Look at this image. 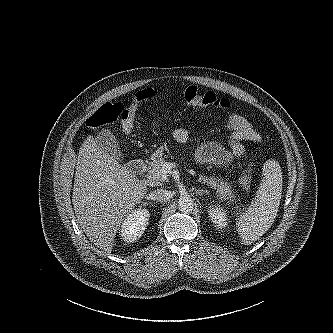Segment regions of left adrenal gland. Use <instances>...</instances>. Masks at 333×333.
Masks as SVG:
<instances>
[{
    "instance_id": "a2214340",
    "label": "left adrenal gland",
    "mask_w": 333,
    "mask_h": 333,
    "mask_svg": "<svg viewBox=\"0 0 333 333\" xmlns=\"http://www.w3.org/2000/svg\"><path fill=\"white\" fill-rule=\"evenodd\" d=\"M195 193L198 196H202L203 194L209 195V191L204 189H195Z\"/></svg>"
}]
</instances>
